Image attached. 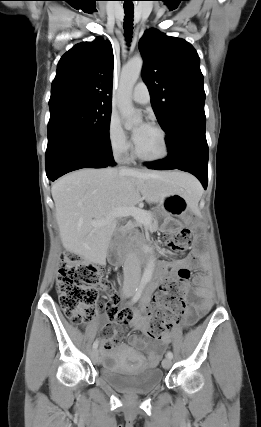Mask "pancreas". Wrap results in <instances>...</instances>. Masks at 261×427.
I'll list each match as a JSON object with an SVG mask.
<instances>
[{
    "mask_svg": "<svg viewBox=\"0 0 261 427\" xmlns=\"http://www.w3.org/2000/svg\"><path fill=\"white\" fill-rule=\"evenodd\" d=\"M147 213L149 214V221L147 223H145L146 227L149 228L150 231H154L157 229V226H156V223L154 222L153 214L151 212H147ZM139 225H140L139 222L134 223V226H139ZM142 238H144L143 235H142ZM143 241H144V239H143Z\"/></svg>",
    "mask_w": 261,
    "mask_h": 427,
    "instance_id": "pancreas-1",
    "label": "pancreas"
}]
</instances>
